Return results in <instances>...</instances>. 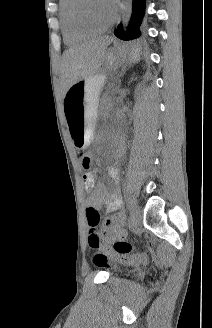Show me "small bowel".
I'll use <instances>...</instances> for the list:
<instances>
[{
	"instance_id": "c3829d8e",
	"label": "small bowel",
	"mask_w": 212,
	"mask_h": 328,
	"mask_svg": "<svg viewBox=\"0 0 212 328\" xmlns=\"http://www.w3.org/2000/svg\"><path fill=\"white\" fill-rule=\"evenodd\" d=\"M83 175L85 189L89 193L87 204L99 210L105 206L107 212H114L112 216L107 217L103 222V236L107 242L115 239H123L126 236L124 229L125 215L121 212L122 199L118 192L112 193L103 183H96L94 175L89 171ZM118 171L115 167L108 169V175L116 180Z\"/></svg>"
}]
</instances>
